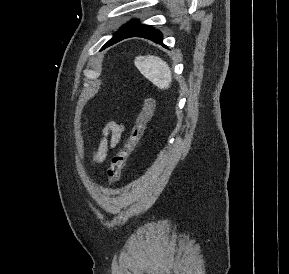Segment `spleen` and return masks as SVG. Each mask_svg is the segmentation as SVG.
Segmentation results:
<instances>
[{
  "instance_id": "1",
  "label": "spleen",
  "mask_w": 289,
  "mask_h": 274,
  "mask_svg": "<svg viewBox=\"0 0 289 274\" xmlns=\"http://www.w3.org/2000/svg\"><path fill=\"white\" fill-rule=\"evenodd\" d=\"M141 74L160 89H167L172 82L168 64L156 56H139L134 61Z\"/></svg>"
}]
</instances>
